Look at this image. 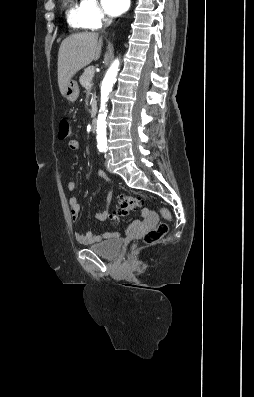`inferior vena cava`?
Instances as JSON below:
<instances>
[{
    "instance_id": "inferior-vena-cava-1",
    "label": "inferior vena cava",
    "mask_w": 254,
    "mask_h": 397,
    "mask_svg": "<svg viewBox=\"0 0 254 397\" xmlns=\"http://www.w3.org/2000/svg\"><path fill=\"white\" fill-rule=\"evenodd\" d=\"M105 27L111 24L112 20L111 19H106L105 21Z\"/></svg>"
}]
</instances>
